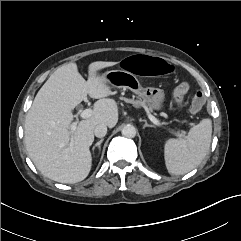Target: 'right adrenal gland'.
Returning <instances> with one entry per match:
<instances>
[{
	"label": "right adrenal gland",
	"mask_w": 241,
	"mask_h": 241,
	"mask_svg": "<svg viewBox=\"0 0 241 241\" xmlns=\"http://www.w3.org/2000/svg\"><path fill=\"white\" fill-rule=\"evenodd\" d=\"M104 141V139L99 140L92 148V150L94 151L95 148H98L99 152L101 151V143Z\"/></svg>",
	"instance_id": "obj_1"
}]
</instances>
